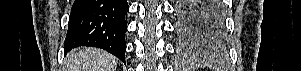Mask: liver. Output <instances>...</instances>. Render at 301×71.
I'll list each match as a JSON object with an SVG mask.
<instances>
[{
  "label": "liver",
  "mask_w": 301,
  "mask_h": 71,
  "mask_svg": "<svg viewBox=\"0 0 301 71\" xmlns=\"http://www.w3.org/2000/svg\"><path fill=\"white\" fill-rule=\"evenodd\" d=\"M67 71H115L117 58L98 48H78L66 57Z\"/></svg>",
  "instance_id": "obj_1"
}]
</instances>
